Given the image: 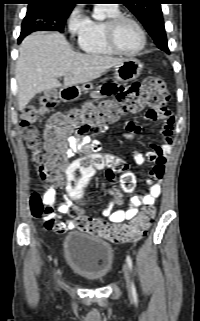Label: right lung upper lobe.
Segmentation results:
<instances>
[{
  "label": "right lung upper lobe",
  "instance_id": "cb5924a9",
  "mask_svg": "<svg viewBox=\"0 0 200 321\" xmlns=\"http://www.w3.org/2000/svg\"><path fill=\"white\" fill-rule=\"evenodd\" d=\"M29 4H46L64 9H73L80 0H28Z\"/></svg>",
  "mask_w": 200,
  "mask_h": 321
}]
</instances>
